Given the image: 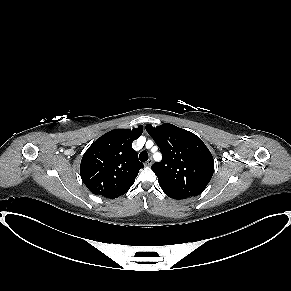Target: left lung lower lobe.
Segmentation results:
<instances>
[{
	"mask_svg": "<svg viewBox=\"0 0 291 291\" xmlns=\"http://www.w3.org/2000/svg\"><path fill=\"white\" fill-rule=\"evenodd\" d=\"M165 192V194L167 195V196H169V197H171V198H174V199H181V197H179V196H177V195H175V194H173V193H171V192H167V191H164Z\"/></svg>",
	"mask_w": 291,
	"mask_h": 291,
	"instance_id": "left-lung-lower-lobe-1",
	"label": "left lung lower lobe"
}]
</instances>
